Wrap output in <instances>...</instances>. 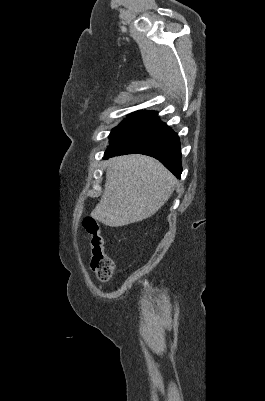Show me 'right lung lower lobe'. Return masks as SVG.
Instances as JSON below:
<instances>
[{
	"mask_svg": "<svg viewBox=\"0 0 265 401\" xmlns=\"http://www.w3.org/2000/svg\"><path fill=\"white\" fill-rule=\"evenodd\" d=\"M139 153L158 159L177 178L182 173L180 141L175 133L157 114L114 138L104 158Z\"/></svg>",
	"mask_w": 265,
	"mask_h": 401,
	"instance_id": "98d812e1",
	"label": "right lung lower lobe"
}]
</instances>
